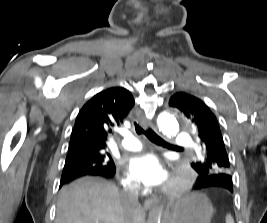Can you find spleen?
<instances>
[{
  "instance_id": "obj_1",
  "label": "spleen",
  "mask_w": 267,
  "mask_h": 223,
  "mask_svg": "<svg viewBox=\"0 0 267 223\" xmlns=\"http://www.w3.org/2000/svg\"><path fill=\"white\" fill-rule=\"evenodd\" d=\"M226 223H234V220L230 214L226 216Z\"/></svg>"
}]
</instances>
